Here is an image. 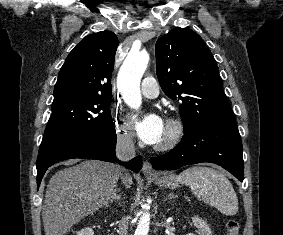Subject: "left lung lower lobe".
<instances>
[{
  "mask_svg": "<svg viewBox=\"0 0 283 235\" xmlns=\"http://www.w3.org/2000/svg\"><path fill=\"white\" fill-rule=\"evenodd\" d=\"M240 134L236 122L203 127L184 134L170 152L151 158L153 168L175 170L189 164L210 162L222 166L243 181L244 164Z\"/></svg>",
  "mask_w": 283,
  "mask_h": 235,
  "instance_id": "1",
  "label": "left lung lower lobe"
}]
</instances>
